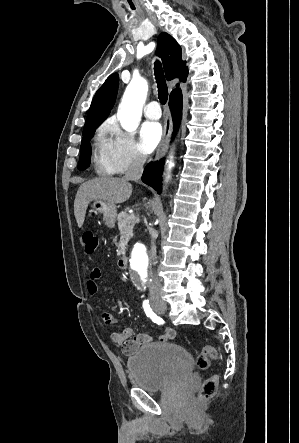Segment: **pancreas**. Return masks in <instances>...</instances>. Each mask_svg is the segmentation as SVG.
I'll return each mask as SVG.
<instances>
[{
	"label": "pancreas",
	"instance_id": "obj_1",
	"mask_svg": "<svg viewBox=\"0 0 299 443\" xmlns=\"http://www.w3.org/2000/svg\"><path fill=\"white\" fill-rule=\"evenodd\" d=\"M130 216L126 211H122L118 214V228L120 231V242L118 244L119 253H124L126 245L129 239L133 236V227L137 223L138 219L129 220L127 217Z\"/></svg>",
	"mask_w": 299,
	"mask_h": 443
}]
</instances>
